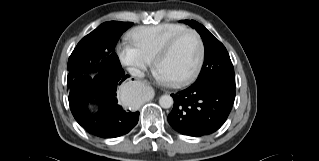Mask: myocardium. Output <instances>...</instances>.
I'll use <instances>...</instances> for the list:
<instances>
[{"mask_svg":"<svg viewBox=\"0 0 319 161\" xmlns=\"http://www.w3.org/2000/svg\"><path fill=\"white\" fill-rule=\"evenodd\" d=\"M188 34L194 35L196 40H197V44H198V48H199L198 58H197V61L194 65L193 69L190 72H188L187 74H185L179 78H175V79H166V81L172 86H179V85L186 84L187 82H189L193 78H195L197 76V74L199 73V71L202 67L203 61H204V56H205V46H204V42H203L201 35L194 29L184 30V31L174 35L173 37H171L163 45V47L159 50V52L156 54L155 58L153 59V65H154L155 69H157L159 63L166 56H168V54L173 50V48L175 47L177 42L181 38H183L184 36H186Z\"/></svg>","mask_w":319,"mask_h":161,"instance_id":"f54148a6","label":"myocardium"}]
</instances>
